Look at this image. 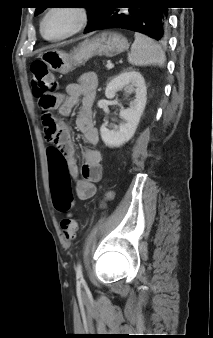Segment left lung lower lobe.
<instances>
[{"mask_svg":"<svg viewBox=\"0 0 213 338\" xmlns=\"http://www.w3.org/2000/svg\"><path fill=\"white\" fill-rule=\"evenodd\" d=\"M95 20L85 33L103 28H122L165 42L168 34L167 7L160 0H102ZM120 5H131L121 10Z\"/></svg>","mask_w":213,"mask_h":338,"instance_id":"0a47b994","label":"left lung lower lobe"}]
</instances>
